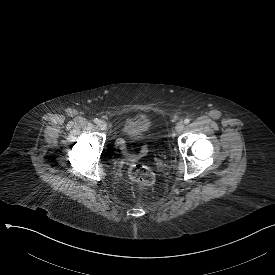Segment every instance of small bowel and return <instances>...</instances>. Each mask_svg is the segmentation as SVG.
<instances>
[{"instance_id": "c3829d8e", "label": "small bowel", "mask_w": 275, "mask_h": 275, "mask_svg": "<svg viewBox=\"0 0 275 275\" xmlns=\"http://www.w3.org/2000/svg\"><path fill=\"white\" fill-rule=\"evenodd\" d=\"M144 139L145 140H150L151 139V134L150 133H145L144 134ZM117 147L124 153L127 151V145L124 140H119L117 142ZM146 153V147H143L142 150L140 151L139 154H128V158L131 161H136L140 156L144 155Z\"/></svg>"}]
</instances>
